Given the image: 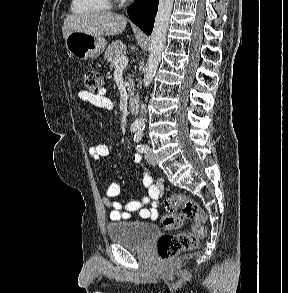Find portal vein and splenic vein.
<instances>
[{
  "label": "portal vein and splenic vein",
  "instance_id": "18ae733b",
  "mask_svg": "<svg viewBox=\"0 0 288 293\" xmlns=\"http://www.w3.org/2000/svg\"><path fill=\"white\" fill-rule=\"evenodd\" d=\"M128 64V57L123 55L116 59L115 61V69H124Z\"/></svg>",
  "mask_w": 288,
  "mask_h": 293
}]
</instances>
